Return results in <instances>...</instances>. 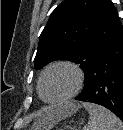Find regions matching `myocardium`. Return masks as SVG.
<instances>
[{"mask_svg":"<svg viewBox=\"0 0 123 130\" xmlns=\"http://www.w3.org/2000/svg\"><path fill=\"white\" fill-rule=\"evenodd\" d=\"M56 67H66V68L70 69L75 75V79H76L75 85H74L73 89L65 96L58 98V99L49 100V99H46L43 95V80H44V77L47 74V72ZM84 79H85L84 72L79 67V65H77L76 63H74L70 60H58V61L52 62L49 65H47L44 68V70L41 72L39 81H38V92H39L41 99L47 103H50V104L62 103V102H65V101L75 97L79 93V91L82 89V87L84 85Z\"/></svg>","mask_w":123,"mask_h":130,"instance_id":"f54148a6","label":"myocardium"}]
</instances>
